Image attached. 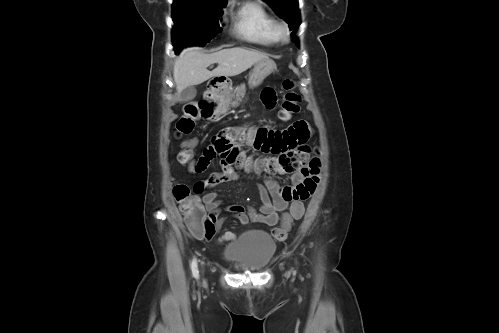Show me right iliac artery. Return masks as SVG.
<instances>
[{"mask_svg":"<svg viewBox=\"0 0 499 333\" xmlns=\"http://www.w3.org/2000/svg\"><path fill=\"white\" fill-rule=\"evenodd\" d=\"M191 270L193 277L198 278L199 277V271H198V266H197V260L194 258L191 263Z\"/></svg>","mask_w":499,"mask_h":333,"instance_id":"1","label":"right iliac artery"}]
</instances>
